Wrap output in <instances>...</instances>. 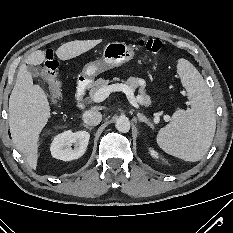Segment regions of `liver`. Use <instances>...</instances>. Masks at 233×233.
<instances>
[{"label": "liver", "instance_id": "obj_1", "mask_svg": "<svg viewBox=\"0 0 233 233\" xmlns=\"http://www.w3.org/2000/svg\"><path fill=\"white\" fill-rule=\"evenodd\" d=\"M102 40H76L61 45L56 55L60 60L75 58ZM46 60L45 52H32L19 67L14 88L9 98V128L15 148L21 152L28 165L36 170L39 135L51 118L50 105L45 91L33 84L27 65H40Z\"/></svg>", "mask_w": 233, "mask_h": 233}]
</instances>
